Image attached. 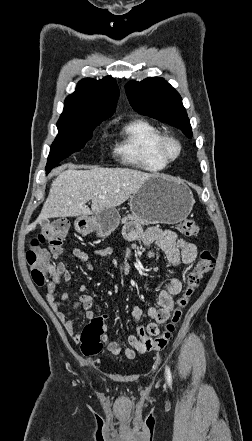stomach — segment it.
Segmentation results:
<instances>
[{
	"instance_id": "obj_1",
	"label": "stomach",
	"mask_w": 252,
	"mask_h": 441,
	"mask_svg": "<svg viewBox=\"0 0 252 441\" xmlns=\"http://www.w3.org/2000/svg\"><path fill=\"white\" fill-rule=\"evenodd\" d=\"M195 200L191 190L182 182L164 175L150 177L131 197L133 214L147 223L175 224L190 214ZM120 214L115 208L82 216L75 223L79 232H95L98 237L109 236L119 225Z\"/></svg>"
}]
</instances>
